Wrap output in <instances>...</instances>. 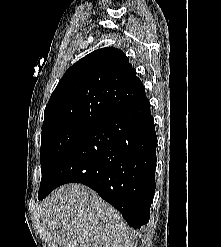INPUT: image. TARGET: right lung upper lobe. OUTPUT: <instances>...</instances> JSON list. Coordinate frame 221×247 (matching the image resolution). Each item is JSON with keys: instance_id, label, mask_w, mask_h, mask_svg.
Wrapping results in <instances>:
<instances>
[{"instance_id": "right-lung-upper-lobe-1", "label": "right lung upper lobe", "mask_w": 221, "mask_h": 247, "mask_svg": "<svg viewBox=\"0 0 221 247\" xmlns=\"http://www.w3.org/2000/svg\"><path fill=\"white\" fill-rule=\"evenodd\" d=\"M145 98L143 84L123 51L98 49L63 75L45 108L42 130L72 123L95 126Z\"/></svg>"}]
</instances>
